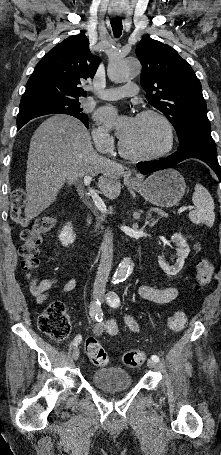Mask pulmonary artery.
I'll use <instances>...</instances> for the list:
<instances>
[{
    "label": "pulmonary artery",
    "instance_id": "obj_1",
    "mask_svg": "<svg viewBox=\"0 0 221 455\" xmlns=\"http://www.w3.org/2000/svg\"><path fill=\"white\" fill-rule=\"evenodd\" d=\"M138 93V86L135 83H128L122 87L107 88L96 92V96L104 100H117Z\"/></svg>",
    "mask_w": 221,
    "mask_h": 455
}]
</instances>
